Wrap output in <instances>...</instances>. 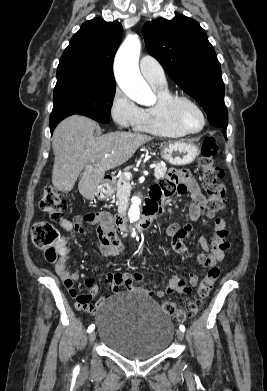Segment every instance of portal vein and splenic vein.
<instances>
[{
  "label": "portal vein and splenic vein",
  "mask_w": 267,
  "mask_h": 391,
  "mask_svg": "<svg viewBox=\"0 0 267 391\" xmlns=\"http://www.w3.org/2000/svg\"><path fill=\"white\" fill-rule=\"evenodd\" d=\"M155 167H156L155 164L150 165V168H151V169H153V168H155ZM125 176H126V178H128L129 180L132 178V174H131L130 172H126V173H125Z\"/></svg>",
  "instance_id": "obj_1"
}]
</instances>
